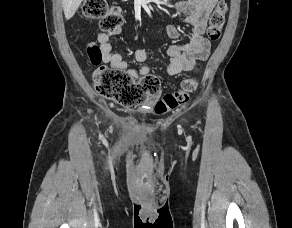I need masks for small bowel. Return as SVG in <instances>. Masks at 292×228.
Returning a JSON list of instances; mask_svg holds the SVG:
<instances>
[{
  "label": "small bowel",
  "instance_id": "1",
  "mask_svg": "<svg viewBox=\"0 0 292 228\" xmlns=\"http://www.w3.org/2000/svg\"><path fill=\"white\" fill-rule=\"evenodd\" d=\"M217 1L181 0L176 4V8L184 16V22L191 27V32L187 43L181 45L172 44L167 48L169 63L166 66V72L168 75L173 76L184 71H189L193 69L196 61H204L209 57L211 44L204 36V33L209 15ZM165 30L170 38H177L180 35V30L176 26L169 25ZM97 41L102 51V60L107 64L104 67L126 71L136 79L150 74L151 69L148 66L140 69L129 68L128 63L123 59L122 55L113 50L108 34H98ZM132 57L137 62H144L148 57V51L145 48L136 49L133 51ZM158 94L149 97L144 102L140 111H151L157 103Z\"/></svg>",
  "mask_w": 292,
  "mask_h": 228
}]
</instances>
